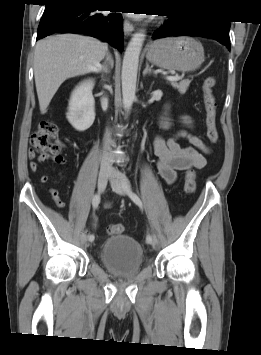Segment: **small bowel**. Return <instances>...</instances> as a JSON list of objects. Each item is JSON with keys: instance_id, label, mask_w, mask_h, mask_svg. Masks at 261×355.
Instances as JSON below:
<instances>
[{"instance_id": "c3829d8e", "label": "small bowel", "mask_w": 261, "mask_h": 355, "mask_svg": "<svg viewBox=\"0 0 261 355\" xmlns=\"http://www.w3.org/2000/svg\"><path fill=\"white\" fill-rule=\"evenodd\" d=\"M180 122L182 128L172 137L164 138L158 136L154 140V153L157 157V170L159 175L168 183L174 184L178 179V172L189 168L203 169L207 165L205 155L210 153V149L204 142L195 135L193 130V122L190 116L181 115ZM187 140L192 146L183 147L179 144V140ZM30 169L32 172L39 170L40 163L47 158H35V153L29 151ZM53 160L65 165L66 161L62 156H55ZM49 177L44 175L41 177V182L47 183ZM53 196L57 195V191L52 189ZM107 207L110 204H106ZM98 225L97 217H93L92 227L96 228Z\"/></svg>"}]
</instances>
